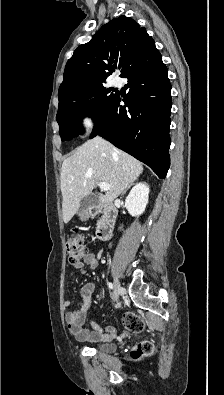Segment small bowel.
I'll return each instance as SVG.
<instances>
[{"instance_id":"small-bowel-1","label":"small bowel","mask_w":224,"mask_h":395,"mask_svg":"<svg viewBox=\"0 0 224 395\" xmlns=\"http://www.w3.org/2000/svg\"><path fill=\"white\" fill-rule=\"evenodd\" d=\"M85 265L91 269H95L98 265L97 258L92 253H86L83 258V262H79L74 265L80 273H85ZM81 301L78 303L74 310H68L65 312V321L70 333L80 341H103L117 338L119 335L114 327H107L103 329L96 322L91 323V329L83 327L88 311L90 309L92 299L95 293L94 283H87L81 289ZM71 301L66 299L63 302L64 307H69ZM125 332L121 333V337H125Z\"/></svg>"}]
</instances>
